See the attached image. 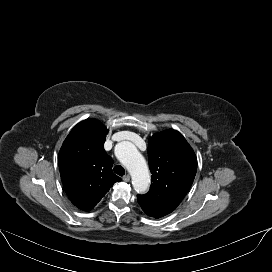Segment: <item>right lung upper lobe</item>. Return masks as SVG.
<instances>
[{
	"label": "right lung upper lobe",
	"mask_w": 272,
	"mask_h": 272,
	"mask_svg": "<svg viewBox=\"0 0 272 272\" xmlns=\"http://www.w3.org/2000/svg\"><path fill=\"white\" fill-rule=\"evenodd\" d=\"M107 133L99 121L84 120L71 130L59 152L64 189L83 211H90L121 180L112 172L113 160L103 148Z\"/></svg>",
	"instance_id": "1"
}]
</instances>
